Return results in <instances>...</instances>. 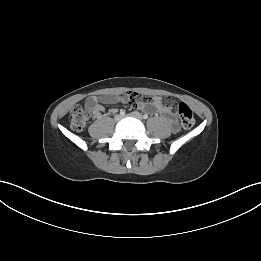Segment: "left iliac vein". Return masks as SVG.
I'll return each instance as SVG.
<instances>
[{
	"label": "left iliac vein",
	"instance_id": "obj_1",
	"mask_svg": "<svg viewBox=\"0 0 261 261\" xmlns=\"http://www.w3.org/2000/svg\"><path fill=\"white\" fill-rule=\"evenodd\" d=\"M128 117H133L138 120H142V115L139 112H132V113L128 114Z\"/></svg>",
	"mask_w": 261,
	"mask_h": 261
}]
</instances>
